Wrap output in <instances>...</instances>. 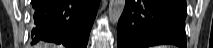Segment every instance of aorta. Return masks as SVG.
Listing matches in <instances>:
<instances>
[{
	"mask_svg": "<svg viewBox=\"0 0 213 48\" xmlns=\"http://www.w3.org/2000/svg\"><path fill=\"white\" fill-rule=\"evenodd\" d=\"M125 7V0H109L108 15L111 24L118 23Z\"/></svg>",
	"mask_w": 213,
	"mask_h": 48,
	"instance_id": "1",
	"label": "aorta"
}]
</instances>
